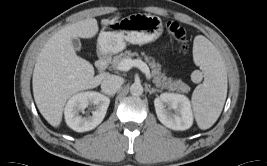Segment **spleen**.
<instances>
[{"label":"spleen","instance_id":"3e777b00","mask_svg":"<svg viewBox=\"0 0 267 166\" xmlns=\"http://www.w3.org/2000/svg\"><path fill=\"white\" fill-rule=\"evenodd\" d=\"M193 58L204 73V81L192 94V106L198 127L209 129L219 118L227 96V72L215 46L204 36H196Z\"/></svg>","mask_w":267,"mask_h":166}]
</instances>
